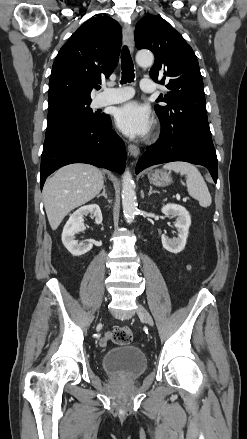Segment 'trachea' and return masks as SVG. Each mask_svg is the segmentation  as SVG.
<instances>
[{
	"mask_svg": "<svg viewBox=\"0 0 247 439\" xmlns=\"http://www.w3.org/2000/svg\"><path fill=\"white\" fill-rule=\"evenodd\" d=\"M121 64H122V80L121 83L134 81V64L132 62L130 52L126 46L123 47L121 52Z\"/></svg>",
	"mask_w": 247,
	"mask_h": 439,
	"instance_id": "obj_1",
	"label": "trachea"
}]
</instances>
